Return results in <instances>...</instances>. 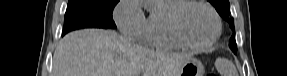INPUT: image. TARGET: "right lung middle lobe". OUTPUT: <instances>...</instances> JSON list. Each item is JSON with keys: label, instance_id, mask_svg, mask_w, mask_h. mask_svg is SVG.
<instances>
[{"label": "right lung middle lobe", "instance_id": "dd1d6c3e", "mask_svg": "<svg viewBox=\"0 0 287 76\" xmlns=\"http://www.w3.org/2000/svg\"><path fill=\"white\" fill-rule=\"evenodd\" d=\"M119 0H69L63 35L82 28L115 29L112 12Z\"/></svg>", "mask_w": 287, "mask_h": 76}]
</instances>
